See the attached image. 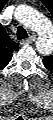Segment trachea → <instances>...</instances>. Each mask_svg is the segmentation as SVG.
<instances>
[{
	"instance_id": "trachea-1",
	"label": "trachea",
	"mask_w": 53,
	"mask_h": 120,
	"mask_svg": "<svg viewBox=\"0 0 53 120\" xmlns=\"http://www.w3.org/2000/svg\"><path fill=\"white\" fill-rule=\"evenodd\" d=\"M26 38H28L27 31L22 26H19L17 28V39L22 40Z\"/></svg>"
}]
</instances>
